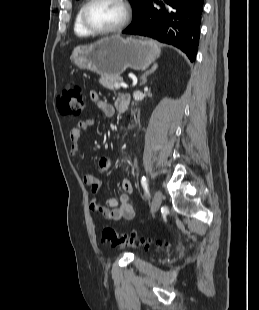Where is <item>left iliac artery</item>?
<instances>
[{
    "label": "left iliac artery",
    "mask_w": 259,
    "mask_h": 310,
    "mask_svg": "<svg viewBox=\"0 0 259 310\" xmlns=\"http://www.w3.org/2000/svg\"><path fill=\"white\" fill-rule=\"evenodd\" d=\"M141 184H142V187H143L144 190H145V193H146L147 195H149L148 182H147V179H146L145 176H143V177L141 178Z\"/></svg>",
    "instance_id": "1"
}]
</instances>
